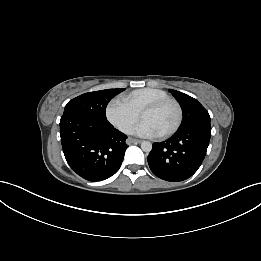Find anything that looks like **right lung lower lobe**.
I'll list each match as a JSON object with an SVG mask.
<instances>
[{
	"mask_svg": "<svg viewBox=\"0 0 261 261\" xmlns=\"http://www.w3.org/2000/svg\"><path fill=\"white\" fill-rule=\"evenodd\" d=\"M63 152L69 166L82 178L96 182L120 168L127 136L107 120L63 114L60 120Z\"/></svg>",
	"mask_w": 261,
	"mask_h": 261,
	"instance_id": "obj_1",
	"label": "right lung lower lobe"
}]
</instances>
